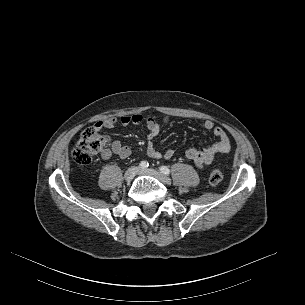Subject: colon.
Returning a JSON list of instances; mask_svg holds the SVG:
<instances>
[{"label": "colon", "mask_w": 305, "mask_h": 305, "mask_svg": "<svg viewBox=\"0 0 305 305\" xmlns=\"http://www.w3.org/2000/svg\"><path fill=\"white\" fill-rule=\"evenodd\" d=\"M108 144V138L101 134L96 127H88L80 134L79 140L72 152V157L79 165L90 164L98 153L107 150ZM221 180L222 172L217 167L213 168L209 175L210 183L217 185Z\"/></svg>", "instance_id": "colon-1"}]
</instances>
